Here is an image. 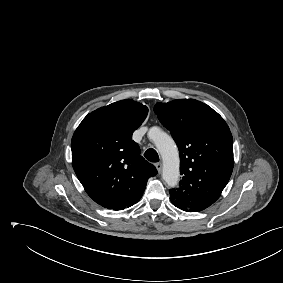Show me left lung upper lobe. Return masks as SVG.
Returning <instances> with one entry per match:
<instances>
[{"mask_svg": "<svg viewBox=\"0 0 283 283\" xmlns=\"http://www.w3.org/2000/svg\"><path fill=\"white\" fill-rule=\"evenodd\" d=\"M158 119L172 134L180 153L182 179L170 199L191 212L212 205L232 174L233 138L223 118L194 99L157 103Z\"/></svg>", "mask_w": 283, "mask_h": 283, "instance_id": "left-lung-upper-lobe-1", "label": "left lung upper lobe"}]
</instances>
